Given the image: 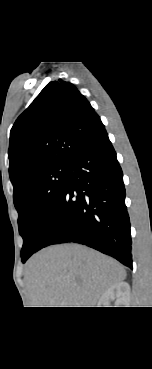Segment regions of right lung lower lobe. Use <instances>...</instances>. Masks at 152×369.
Here are the masks:
<instances>
[{"mask_svg": "<svg viewBox=\"0 0 152 369\" xmlns=\"http://www.w3.org/2000/svg\"><path fill=\"white\" fill-rule=\"evenodd\" d=\"M65 242L92 247L132 269L123 173L106 130L68 163L67 183L37 251Z\"/></svg>", "mask_w": 152, "mask_h": 369, "instance_id": "1", "label": "right lung lower lobe"}]
</instances>
